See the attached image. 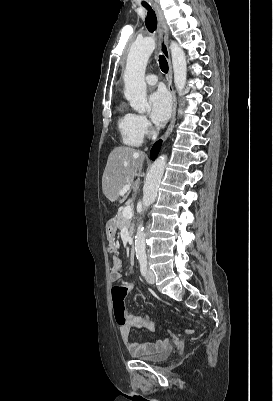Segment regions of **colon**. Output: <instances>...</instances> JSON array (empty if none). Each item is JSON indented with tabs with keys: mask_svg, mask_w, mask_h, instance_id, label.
Wrapping results in <instances>:
<instances>
[{
	"mask_svg": "<svg viewBox=\"0 0 273 401\" xmlns=\"http://www.w3.org/2000/svg\"><path fill=\"white\" fill-rule=\"evenodd\" d=\"M140 288V285L137 283L127 284L126 288L122 285H114V295L115 298L113 299V316L115 322L118 326H124L127 322L126 311L124 308V297L127 291L137 290Z\"/></svg>",
	"mask_w": 273,
	"mask_h": 401,
	"instance_id": "5ec220e1",
	"label": "colon"
}]
</instances>
